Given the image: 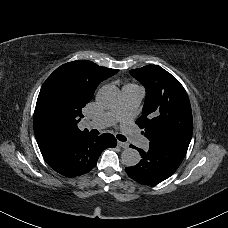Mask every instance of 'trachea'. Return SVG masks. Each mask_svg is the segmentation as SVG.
<instances>
[{"label": "trachea", "mask_w": 228, "mask_h": 228, "mask_svg": "<svg viewBox=\"0 0 228 228\" xmlns=\"http://www.w3.org/2000/svg\"><path fill=\"white\" fill-rule=\"evenodd\" d=\"M91 133H92L93 135H98V134H99V132H98L97 130H95V129L91 130ZM116 137H117V139H118L119 141H126V140H127V138H126L125 136L120 135V134H117Z\"/></svg>", "instance_id": "obj_1"}]
</instances>
